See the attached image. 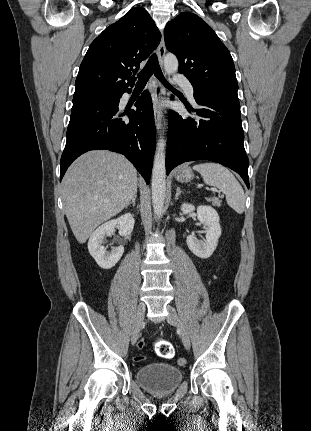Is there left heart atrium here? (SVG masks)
Wrapping results in <instances>:
<instances>
[{"instance_id": "39dd6f15", "label": "left heart atrium", "mask_w": 311, "mask_h": 431, "mask_svg": "<svg viewBox=\"0 0 311 431\" xmlns=\"http://www.w3.org/2000/svg\"><path fill=\"white\" fill-rule=\"evenodd\" d=\"M162 106H163V104H162V103H159V104H158V107H162Z\"/></svg>"}]
</instances>
